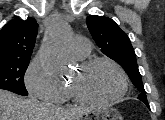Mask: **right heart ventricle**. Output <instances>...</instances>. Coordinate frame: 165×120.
Masks as SVG:
<instances>
[{"label":"right heart ventricle","instance_id":"obj_1","mask_svg":"<svg viewBox=\"0 0 165 120\" xmlns=\"http://www.w3.org/2000/svg\"><path fill=\"white\" fill-rule=\"evenodd\" d=\"M65 99H75L70 90V86L65 87Z\"/></svg>","mask_w":165,"mask_h":120}]
</instances>
